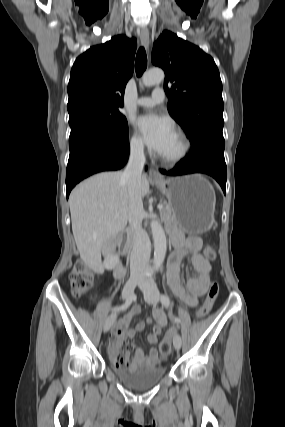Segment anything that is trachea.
I'll use <instances>...</instances> for the list:
<instances>
[{
  "mask_svg": "<svg viewBox=\"0 0 285 427\" xmlns=\"http://www.w3.org/2000/svg\"><path fill=\"white\" fill-rule=\"evenodd\" d=\"M147 68V56L143 47H140L136 55V74L141 77Z\"/></svg>",
  "mask_w": 285,
  "mask_h": 427,
  "instance_id": "3493384b",
  "label": "trachea"
}]
</instances>
